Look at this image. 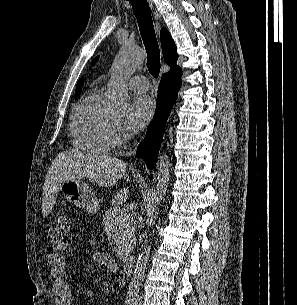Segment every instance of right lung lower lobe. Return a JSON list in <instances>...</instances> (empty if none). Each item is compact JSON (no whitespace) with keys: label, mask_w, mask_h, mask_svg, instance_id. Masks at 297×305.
I'll list each match as a JSON object with an SVG mask.
<instances>
[{"label":"right lung lower lobe","mask_w":297,"mask_h":305,"mask_svg":"<svg viewBox=\"0 0 297 305\" xmlns=\"http://www.w3.org/2000/svg\"><path fill=\"white\" fill-rule=\"evenodd\" d=\"M181 76V68L170 71L163 75L159 84L155 116L145 139L141 142L137 150V156L144 159L149 169H153L156 164L165 125L181 86ZM151 178L152 176H150Z\"/></svg>","instance_id":"obj_1"}]
</instances>
